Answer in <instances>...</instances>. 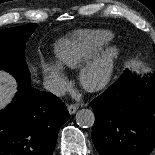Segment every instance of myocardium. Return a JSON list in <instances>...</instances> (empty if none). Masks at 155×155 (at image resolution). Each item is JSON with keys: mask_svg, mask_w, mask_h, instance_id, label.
Wrapping results in <instances>:
<instances>
[{"mask_svg": "<svg viewBox=\"0 0 155 155\" xmlns=\"http://www.w3.org/2000/svg\"><path fill=\"white\" fill-rule=\"evenodd\" d=\"M119 55L120 49L116 45L104 48L80 70L78 79L81 86L89 92L104 88L113 75Z\"/></svg>", "mask_w": 155, "mask_h": 155, "instance_id": "obj_1", "label": "myocardium"}]
</instances>
